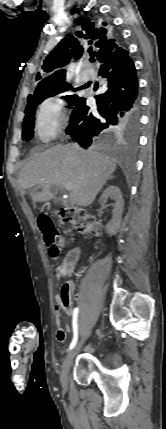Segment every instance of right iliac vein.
Here are the masks:
<instances>
[{"label": "right iliac vein", "instance_id": "obj_1", "mask_svg": "<svg viewBox=\"0 0 166 429\" xmlns=\"http://www.w3.org/2000/svg\"><path fill=\"white\" fill-rule=\"evenodd\" d=\"M90 335V332L85 336V338L79 342L77 344L76 347H74L65 357L64 362H63V366H62V371H61V375H60V381L61 384L64 388L67 387L68 385V374H69V368L73 362V359L75 357V355L77 354V351L79 350V347L82 345V343L84 342V340L86 338H88V336Z\"/></svg>", "mask_w": 166, "mask_h": 429}]
</instances>
